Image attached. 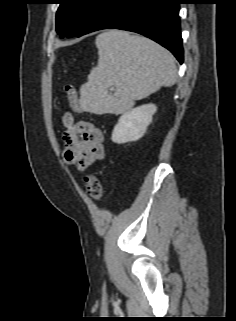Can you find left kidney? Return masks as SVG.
<instances>
[{"instance_id":"5707ae66","label":"left kidney","mask_w":236,"mask_h":321,"mask_svg":"<svg viewBox=\"0 0 236 321\" xmlns=\"http://www.w3.org/2000/svg\"><path fill=\"white\" fill-rule=\"evenodd\" d=\"M156 111L154 104H146L124 113L114 127L112 141L123 144L139 140L145 134Z\"/></svg>"}]
</instances>
